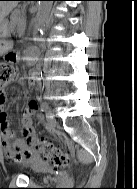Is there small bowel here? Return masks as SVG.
<instances>
[{
    "instance_id": "small-bowel-1",
    "label": "small bowel",
    "mask_w": 137,
    "mask_h": 189,
    "mask_svg": "<svg viewBox=\"0 0 137 189\" xmlns=\"http://www.w3.org/2000/svg\"><path fill=\"white\" fill-rule=\"evenodd\" d=\"M36 78L37 72L32 71L27 77L21 78L20 81L24 82L25 80H28L33 84ZM31 101L35 102L34 100ZM31 101H29L23 109L22 135L21 137L16 138L14 132L10 128L7 113L5 111L6 94L4 91H0V142L6 158L14 164H26L29 162L38 163L42 161L30 148L36 138L35 128L33 126V112L28 108Z\"/></svg>"
}]
</instances>
